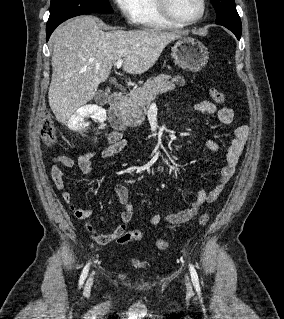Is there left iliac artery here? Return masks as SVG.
<instances>
[{
    "label": "left iliac artery",
    "mask_w": 284,
    "mask_h": 319,
    "mask_svg": "<svg viewBox=\"0 0 284 319\" xmlns=\"http://www.w3.org/2000/svg\"><path fill=\"white\" fill-rule=\"evenodd\" d=\"M189 270L191 274V280L193 282V285L197 291H200V285H199V279L197 272L192 264H189Z\"/></svg>",
    "instance_id": "obj_1"
}]
</instances>
